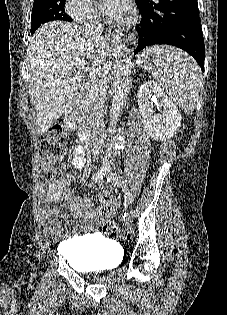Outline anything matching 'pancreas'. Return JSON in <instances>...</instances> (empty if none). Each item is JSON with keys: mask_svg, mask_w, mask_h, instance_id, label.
I'll list each match as a JSON object with an SVG mask.
<instances>
[{"mask_svg": "<svg viewBox=\"0 0 227 315\" xmlns=\"http://www.w3.org/2000/svg\"><path fill=\"white\" fill-rule=\"evenodd\" d=\"M98 97V91H96L94 94H88L84 101V110L81 111V119L83 121V124H90L91 119L93 117L92 110L94 108L95 100Z\"/></svg>", "mask_w": 227, "mask_h": 315, "instance_id": "pancreas-1", "label": "pancreas"}]
</instances>
